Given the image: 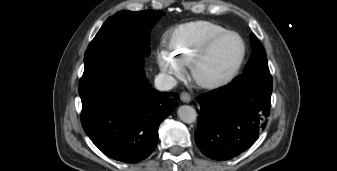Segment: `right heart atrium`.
<instances>
[{"instance_id":"obj_1","label":"right heart atrium","mask_w":337,"mask_h":171,"mask_svg":"<svg viewBox=\"0 0 337 171\" xmlns=\"http://www.w3.org/2000/svg\"><path fill=\"white\" fill-rule=\"evenodd\" d=\"M161 70L172 78H181L184 74V67L173 57L167 49H160L157 55Z\"/></svg>"}]
</instances>
